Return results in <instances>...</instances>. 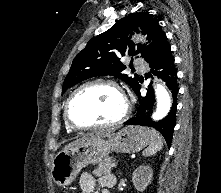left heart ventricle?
<instances>
[{"mask_svg":"<svg viewBox=\"0 0 221 193\" xmlns=\"http://www.w3.org/2000/svg\"><path fill=\"white\" fill-rule=\"evenodd\" d=\"M123 111L122 96L106 85L84 88L76 95L70 107L73 120L83 126L114 121Z\"/></svg>","mask_w":221,"mask_h":193,"instance_id":"1","label":"left heart ventricle"}]
</instances>
